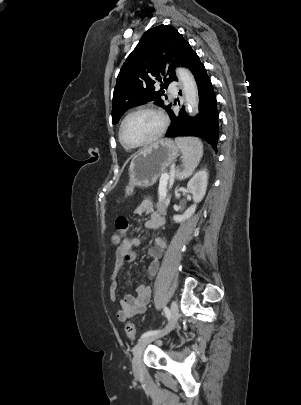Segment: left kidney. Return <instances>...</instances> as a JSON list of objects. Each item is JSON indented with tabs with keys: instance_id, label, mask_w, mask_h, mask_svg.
Masks as SVG:
<instances>
[{
	"instance_id": "left-kidney-1",
	"label": "left kidney",
	"mask_w": 301,
	"mask_h": 405,
	"mask_svg": "<svg viewBox=\"0 0 301 405\" xmlns=\"http://www.w3.org/2000/svg\"><path fill=\"white\" fill-rule=\"evenodd\" d=\"M207 184L208 173L205 169L200 170L190 179L187 184V189L192 194L194 204L190 206L183 215L173 216V220L176 223H181L189 219L194 214L197 204L202 201L206 194Z\"/></svg>"
}]
</instances>
